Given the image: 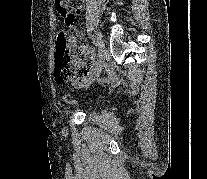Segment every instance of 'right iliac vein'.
I'll return each instance as SVG.
<instances>
[{"instance_id":"right-iliac-vein-1","label":"right iliac vein","mask_w":207,"mask_h":179,"mask_svg":"<svg viewBox=\"0 0 207 179\" xmlns=\"http://www.w3.org/2000/svg\"><path fill=\"white\" fill-rule=\"evenodd\" d=\"M96 40L99 43V47H98V54H99V61H98V66L96 68V70L93 72L92 76L89 78V80L86 82V84L84 85L85 89H88L91 84H93L96 79L100 76L103 66H104V52H105V46H104V42L102 40V35L100 32L97 33L96 36ZM75 101H72L71 104H74Z\"/></svg>"}]
</instances>
